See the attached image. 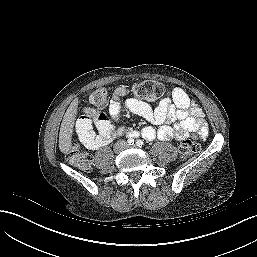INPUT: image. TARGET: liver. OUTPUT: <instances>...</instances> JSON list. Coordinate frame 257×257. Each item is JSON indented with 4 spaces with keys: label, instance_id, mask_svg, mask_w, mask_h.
Returning a JSON list of instances; mask_svg holds the SVG:
<instances>
[{
    "label": "liver",
    "instance_id": "6515ba94",
    "mask_svg": "<svg viewBox=\"0 0 257 257\" xmlns=\"http://www.w3.org/2000/svg\"><path fill=\"white\" fill-rule=\"evenodd\" d=\"M78 98H75L63 117L59 132V149L62 153L67 154L71 148L74 122L77 115Z\"/></svg>",
    "mask_w": 257,
    "mask_h": 257
}]
</instances>
